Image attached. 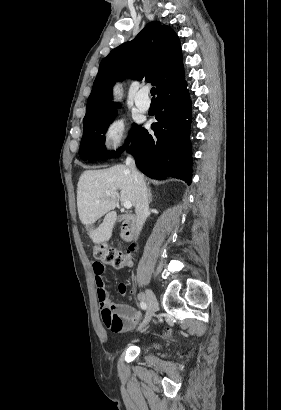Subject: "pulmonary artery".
Masks as SVG:
<instances>
[{
	"mask_svg": "<svg viewBox=\"0 0 281 410\" xmlns=\"http://www.w3.org/2000/svg\"><path fill=\"white\" fill-rule=\"evenodd\" d=\"M148 87H142L135 96V105L141 111H147L150 107V100L147 97Z\"/></svg>",
	"mask_w": 281,
	"mask_h": 410,
	"instance_id": "pulmonary-artery-1",
	"label": "pulmonary artery"
}]
</instances>
